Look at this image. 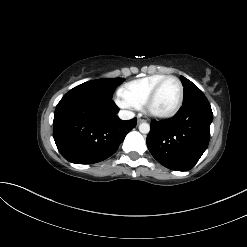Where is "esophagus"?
<instances>
[{"label":"esophagus","mask_w":247,"mask_h":247,"mask_svg":"<svg viewBox=\"0 0 247 247\" xmlns=\"http://www.w3.org/2000/svg\"><path fill=\"white\" fill-rule=\"evenodd\" d=\"M144 121H145V120H144V119H141V118H138V119H137V123H138V124H140V123H142V122H144Z\"/></svg>","instance_id":"34e87169"}]
</instances>
